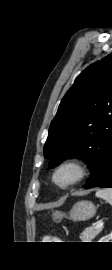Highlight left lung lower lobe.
Instances as JSON below:
<instances>
[{"label":"left lung lower lobe","instance_id":"0a47b994","mask_svg":"<svg viewBox=\"0 0 112 270\" xmlns=\"http://www.w3.org/2000/svg\"><path fill=\"white\" fill-rule=\"evenodd\" d=\"M84 188L111 187L112 188V146L110 147L99 173L83 186Z\"/></svg>","mask_w":112,"mask_h":270}]
</instances>
